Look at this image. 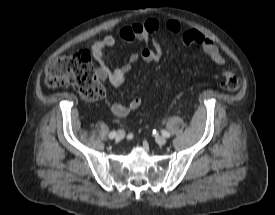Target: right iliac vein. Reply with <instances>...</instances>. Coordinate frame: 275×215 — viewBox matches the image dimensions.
<instances>
[{
  "label": "right iliac vein",
  "instance_id": "right-iliac-vein-1",
  "mask_svg": "<svg viewBox=\"0 0 275 215\" xmlns=\"http://www.w3.org/2000/svg\"><path fill=\"white\" fill-rule=\"evenodd\" d=\"M125 137V132L123 130H119L116 134V140L120 141Z\"/></svg>",
  "mask_w": 275,
  "mask_h": 215
}]
</instances>
